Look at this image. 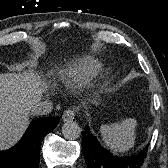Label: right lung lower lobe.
Wrapping results in <instances>:
<instances>
[{"label":"right lung lower lobe","mask_w":168,"mask_h":168,"mask_svg":"<svg viewBox=\"0 0 168 168\" xmlns=\"http://www.w3.org/2000/svg\"><path fill=\"white\" fill-rule=\"evenodd\" d=\"M58 117L33 121L13 148L0 151V168H38L41 141L58 125Z\"/></svg>","instance_id":"obj_1"}]
</instances>
